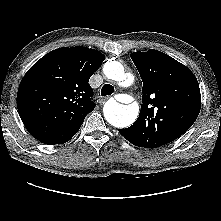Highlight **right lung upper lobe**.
<instances>
[{"label":"right lung upper lobe","instance_id":"right-lung-upper-lobe-1","mask_svg":"<svg viewBox=\"0 0 221 221\" xmlns=\"http://www.w3.org/2000/svg\"><path fill=\"white\" fill-rule=\"evenodd\" d=\"M105 56L83 46L59 48L36 62L23 77L17 107L30 134L47 145L69 141L94 110L90 77Z\"/></svg>","mask_w":221,"mask_h":221}]
</instances>
